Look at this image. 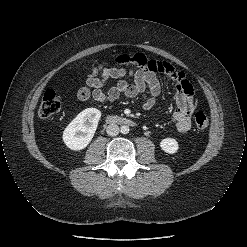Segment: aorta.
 Instances as JSON below:
<instances>
[{"label":"aorta","mask_w":247,"mask_h":247,"mask_svg":"<svg viewBox=\"0 0 247 247\" xmlns=\"http://www.w3.org/2000/svg\"><path fill=\"white\" fill-rule=\"evenodd\" d=\"M129 126H127V125H123V126H121V128H120V132L122 133V134H128L129 133Z\"/></svg>","instance_id":"762f6f07"}]
</instances>
